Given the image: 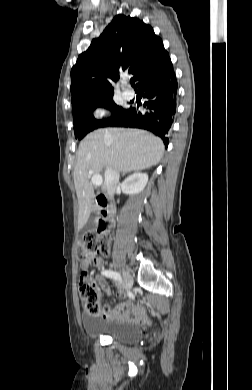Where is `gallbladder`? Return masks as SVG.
<instances>
[{"mask_svg":"<svg viewBox=\"0 0 252 390\" xmlns=\"http://www.w3.org/2000/svg\"><path fill=\"white\" fill-rule=\"evenodd\" d=\"M94 228H95V215H91L90 218L87 220L86 224L80 230V233L85 234L89 231L94 230Z\"/></svg>","mask_w":252,"mask_h":390,"instance_id":"gallbladder-1","label":"gallbladder"}]
</instances>
